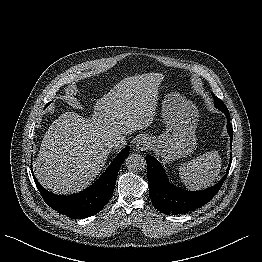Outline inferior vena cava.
<instances>
[{
    "label": "inferior vena cava",
    "instance_id": "1",
    "mask_svg": "<svg viewBox=\"0 0 262 262\" xmlns=\"http://www.w3.org/2000/svg\"><path fill=\"white\" fill-rule=\"evenodd\" d=\"M126 145V140L124 138H116L113 140H110L107 143V147L112 150V149H118V148H122L123 146Z\"/></svg>",
    "mask_w": 262,
    "mask_h": 262
}]
</instances>
